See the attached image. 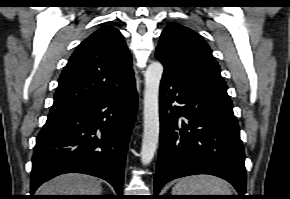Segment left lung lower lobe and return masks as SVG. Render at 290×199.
I'll list each match as a JSON object with an SVG mask.
<instances>
[{"instance_id": "left-lung-lower-lobe-1", "label": "left lung lower lobe", "mask_w": 290, "mask_h": 199, "mask_svg": "<svg viewBox=\"0 0 290 199\" xmlns=\"http://www.w3.org/2000/svg\"><path fill=\"white\" fill-rule=\"evenodd\" d=\"M232 108L228 95L164 72L160 85L156 196L173 179L211 174L230 182L238 191V198H244L245 155Z\"/></svg>"}]
</instances>
